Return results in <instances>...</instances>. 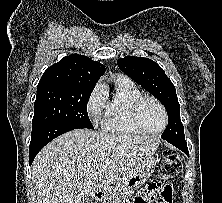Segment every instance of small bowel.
<instances>
[{
	"label": "small bowel",
	"instance_id": "1",
	"mask_svg": "<svg viewBox=\"0 0 222 203\" xmlns=\"http://www.w3.org/2000/svg\"><path fill=\"white\" fill-rule=\"evenodd\" d=\"M164 189H165V196L162 200V203H171V200H172V186L167 185V186H165ZM150 199H151V197H147V202L148 203H150ZM134 203H137V197H136Z\"/></svg>",
	"mask_w": 222,
	"mask_h": 203
}]
</instances>
